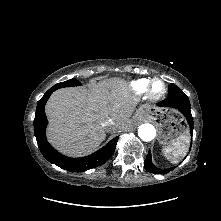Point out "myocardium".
<instances>
[{"mask_svg":"<svg viewBox=\"0 0 221 221\" xmlns=\"http://www.w3.org/2000/svg\"><path fill=\"white\" fill-rule=\"evenodd\" d=\"M156 83H161V85H162V90L160 92L154 91V85ZM166 93H167V85L162 79L154 78L149 82L148 87H147V95H148L149 99L159 100V99L163 98L166 95Z\"/></svg>","mask_w":221,"mask_h":221,"instance_id":"f54148a6","label":"myocardium"}]
</instances>
